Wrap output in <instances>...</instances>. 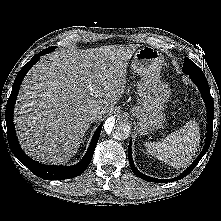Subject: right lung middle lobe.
I'll return each instance as SVG.
<instances>
[{"instance_id": "obj_1", "label": "right lung middle lobe", "mask_w": 221, "mask_h": 221, "mask_svg": "<svg viewBox=\"0 0 221 221\" xmlns=\"http://www.w3.org/2000/svg\"><path fill=\"white\" fill-rule=\"evenodd\" d=\"M55 49V47L53 46V47H49V48H47V49H45V50H49V51H53Z\"/></svg>"}]
</instances>
